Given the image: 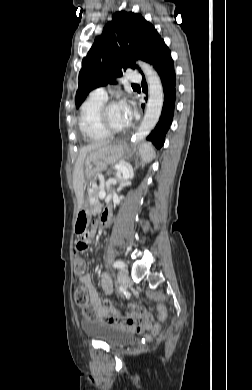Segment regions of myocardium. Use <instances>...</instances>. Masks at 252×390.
Here are the masks:
<instances>
[{
    "instance_id": "obj_1",
    "label": "myocardium",
    "mask_w": 252,
    "mask_h": 390,
    "mask_svg": "<svg viewBox=\"0 0 252 390\" xmlns=\"http://www.w3.org/2000/svg\"><path fill=\"white\" fill-rule=\"evenodd\" d=\"M115 104H118V102L114 101V100L106 101L105 103H103V105L100 107V109L98 111L99 125H100L101 129L105 133L109 134L110 136L124 134L130 128V125H128L127 127L123 128V129H114L113 127L110 126V124L107 120V111H108L109 107H111Z\"/></svg>"
}]
</instances>
